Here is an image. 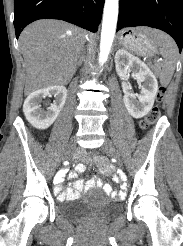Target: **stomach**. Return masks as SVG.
<instances>
[{
    "label": "stomach",
    "instance_id": "1",
    "mask_svg": "<svg viewBox=\"0 0 183 246\" xmlns=\"http://www.w3.org/2000/svg\"><path fill=\"white\" fill-rule=\"evenodd\" d=\"M148 32L147 28H128L120 33L119 41L126 48L140 55H147L156 51V44Z\"/></svg>",
    "mask_w": 183,
    "mask_h": 246
}]
</instances>
